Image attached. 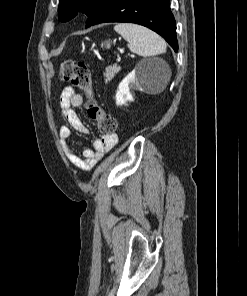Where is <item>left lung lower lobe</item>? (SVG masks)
Instances as JSON below:
<instances>
[{"instance_id": "0a47b994", "label": "left lung lower lobe", "mask_w": 247, "mask_h": 296, "mask_svg": "<svg viewBox=\"0 0 247 296\" xmlns=\"http://www.w3.org/2000/svg\"><path fill=\"white\" fill-rule=\"evenodd\" d=\"M105 22L136 23L161 35L178 51L176 22L169 0H105L101 7L89 16L86 28Z\"/></svg>"}]
</instances>
